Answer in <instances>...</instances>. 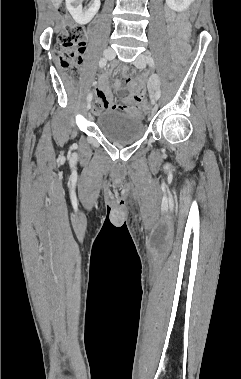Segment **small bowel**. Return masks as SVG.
<instances>
[{"instance_id": "1", "label": "small bowel", "mask_w": 241, "mask_h": 379, "mask_svg": "<svg viewBox=\"0 0 241 379\" xmlns=\"http://www.w3.org/2000/svg\"><path fill=\"white\" fill-rule=\"evenodd\" d=\"M166 16L170 33L177 36L176 50L178 54H182L184 52V47L180 41V38L186 33L188 29V25L185 21V16L176 15L172 11H167ZM114 84L119 93L122 91L125 92V95L121 96L123 104L119 106L112 103V93L109 86L108 77L104 74L96 82L97 96L104 102L106 108H119L131 113H140L141 117H146L147 111L141 110L143 101L142 94L145 92L143 82L141 80L132 81L127 87H124L122 81L117 79L115 80Z\"/></svg>"}]
</instances>
